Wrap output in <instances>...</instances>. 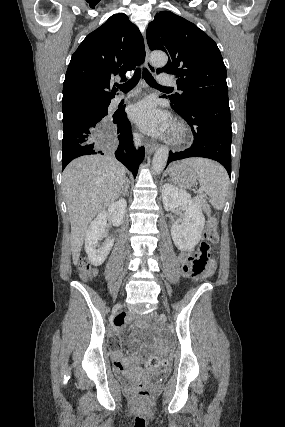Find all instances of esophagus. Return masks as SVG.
Wrapping results in <instances>:
<instances>
[{
  "mask_svg": "<svg viewBox=\"0 0 285 427\" xmlns=\"http://www.w3.org/2000/svg\"><path fill=\"white\" fill-rule=\"evenodd\" d=\"M144 44H145V53H146V57H145L146 67L148 68V70L152 74H155L156 73V68L150 62V58H149V56H150V50H149L146 38H144ZM145 148H146V152L147 153H152V152H154L156 150L157 144L154 143V142H147Z\"/></svg>",
  "mask_w": 285,
  "mask_h": 427,
  "instance_id": "1",
  "label": "esophagus"
}]
</instances>
